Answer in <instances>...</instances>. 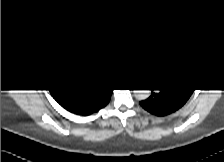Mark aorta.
<instances>
[{"mask_svg": "<svg viewBox=\"0 0 224 162\" xmlns=\"http://www.w3.org/2000/svg\"><path fill=\"white\" fill-rule=\"evenodd\" d=\"M133 93L138 100H144L149 96L148 90H134Z\"/></svg>", "mask_w": 224, "mask_h": 162, "instance_id": "aorta-1", "label": "aorta"}]
</instances>
